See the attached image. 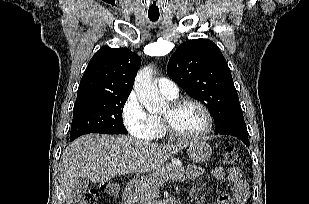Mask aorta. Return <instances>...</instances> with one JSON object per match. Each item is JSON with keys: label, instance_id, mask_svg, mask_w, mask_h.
<instances>
[{"label": "aorta", "instance_id": "obj_1", "mask_svg": "<svg viewBox=\"0 0 309 204\" xmlns=\"http://www.w3.org/2000/svg\"><path fill=\"white\" fill-rule=\"evenodd\" d=\"M153 67L146 66L136 75L134 89L138 100L149 112H159L166 106L165 100L159 95L158 88L152 83Z\"/></svg>", "mask_w": 309, "mask_h": 204}]
</instances>
